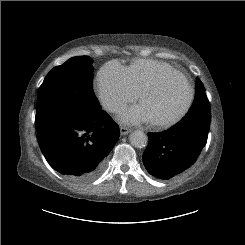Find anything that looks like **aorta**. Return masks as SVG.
<instances>
[{
  "mask_svg": "<svg viewBox=\"0 0 245 245\" xmlns=\"http://www.w3.org/2000/svg\"><path fill=\"white\" fill-rule=\"evenodd\" d=\"M129 139H130L131 145L137 148H143L148 143L147 135L141 130H136L132 132L130 134Z\"/></svg>",
  "mask_w": 245,
  "mask_h": 245,
  "instance_id": "aorta-1",
  "label": "aorta"
}]
</instances>
